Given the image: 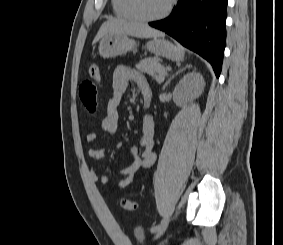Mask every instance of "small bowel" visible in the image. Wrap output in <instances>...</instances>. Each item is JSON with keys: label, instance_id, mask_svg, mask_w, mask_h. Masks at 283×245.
I'll return each mask as SVG.
<instances>
[{"label": "small bowel", "instance_id": "obj_1", "mask_svg": "<svg viewBox=\"0 0 283 245\" xmlns=\"http://www.w3.org/2000/svg\"><path fill=\"white\" fill-rule=\"evenodd\" d=\"M98 81V80H97ZM87 79L82 82L79 87V97L83 106L90 112L94 113L97 110V87L96 82ZM130 82H135L140 89L143 98L149 97L152 99L153 92L145 77L137 70L126 66L119 65L115 68L112 76L113 95L107 102L106 114L102 120V129L108 136L116 134L119 128V106ZM156 127L153 118L150 115H145L142 122V136L137 145L130 148V156L132 162L129 166L119 172L121 178L118 181L112 180L110 177L98 176L95 169L89 172V179L92 182L102 185L115 186L122 188L131 184L137 172L141 168L151 167L156 159L153 151L155 141ZM98 139L96 133L91 132L86 136L89 143H95ZM106 152L105 147L90 148L88 155L95 160L104 157Z\"/></svg>", "mask_w": 283, "mask_h": 245}]
</instances>
